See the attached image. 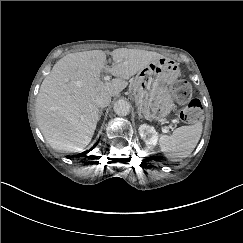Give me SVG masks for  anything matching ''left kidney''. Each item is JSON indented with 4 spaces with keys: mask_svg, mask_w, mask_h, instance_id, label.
<instances>
[{
    "mask_svg": "<svg viewBox=\"0 0 243 243\" xmlns=\"http://www.w3.org/2000/svg\"><path fill=\"white\" fill-rule=\"evenodd\" d=\"M139 134L147 146L154 147L157 145L159 136L153 126L147 124L140 125Z\"/></svg>",
    "mask_w": 243,
    "mask_h": 243,
    "instance_id": "obj_1",
    "label": "left kidney"
}]
</instances>
